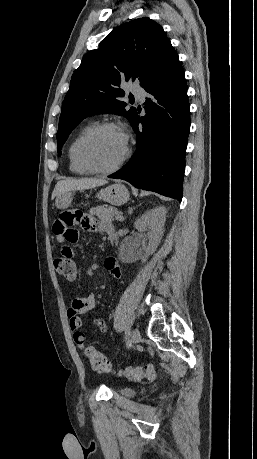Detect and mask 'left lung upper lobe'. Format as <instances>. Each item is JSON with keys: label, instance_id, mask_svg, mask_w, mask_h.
I'll return each instance as SVG.
<instances>
[{"label": "left lung upper lobe", "instance_id": "obj_1", "mask_svg": "<svg viewBox=\"0 0 257 459\" xmlns=\"http://www.w3.org/2000/svg\"><path fill=\"white\" fill-rule=\"evenodd\" d=\"M173 49L163 28L143 17L115 28L98 49L88 52L73 74L62 104L59 154L68 135L90 115L112 112L132 122L137 111L125 109L120 84L138 80L144 87Z\"/></svg>", "mask_w": 257, "mask_h": 459}]
</instances>
